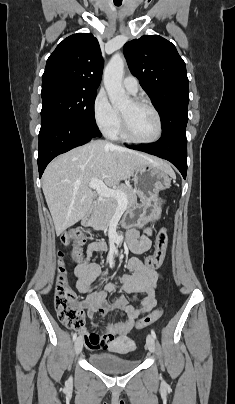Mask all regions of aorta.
<instances>
[{"instance_id":"obj_1","label":"aorta","mask_w":235,"mask_h":404,"mask_svg":"<svg viewBox=\"0 0 235 404\" xmlns=\"http://www.w3.org/2000/svg\"><path fill=\"white\" fill-rule=\"evenodd\" d=\"M124 60L119 54L112 56L104 71V86L113 107L122 108L130 102L122 86Z\"/></svg>"}]
</instances>
